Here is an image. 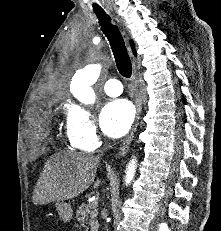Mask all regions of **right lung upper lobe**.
Listing matches in <instances>:
<instances>
[{"mask_svg":"<svg viewBox=\"0 0 221 231\" xmlns=\"http://www.w3.org/2000/svg\"><path fill=\"white\" fill-rule=\"evenodd\" d=\"M131 46H132V47H134V44H133V42H131ZM134 53H135V52H134Z\"/></svg>","mask_w":221,"mask_h":231,"instance_id":"cb5924a9","label":"right lung upper lobe"}]
</instances>
